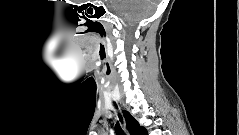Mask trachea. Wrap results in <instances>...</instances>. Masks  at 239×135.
I'll return each mask as SVG.
<instances>
[{
    "label": "trachea",
    "instance_id": "1",
    "mask_svg": "<svg viewBox=\"0 0 239 135\" xmlns=\"http://www.w3.org/2000/svg\"><path fill=\"white\" fill-rule=\"evenodd\" d=\"M116 106V105H115ZM119 118H120V120H121V122H122V117H121V115L119 114Z\"/></svg>",
    "mask_w": 239,
    "mask_h": 135
}]
</instances>
